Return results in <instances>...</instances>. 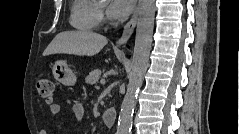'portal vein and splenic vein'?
Listing matches in <instances>:
<instances>
[{
    "mask_svg": "<svg viewBox=\"0 0 239 134\" xmlns=\"http://www.w3.org/2000/svg\"><path fill=\"white\" fill-rule=\"evenodd\" d=\"M101 83H105V80L104 79H101V81H100Z\"/></svg>",
    "mask_w": 239,
    "mask_h": 134,
    "instance_id": "obj_1",
    "label": "portal vein and splenic vein"
}]
</instances>
